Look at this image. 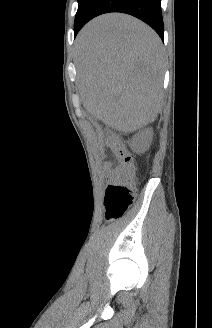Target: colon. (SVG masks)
Segmentation results:
<instances>
[{
    "label": "colon",
    "mask_w": 212,
    "mask_h": 328,
    "mask_svg": "<svg viewBox=\"0 0 212 328\" xmlns=\"http://www.w3.org/2000/svg\"><path fill=\"white\" fill-rule=\"evenodd\" d=\"M107 144L117 155L122 166L120 172L121 180L108 185L105 189V217L108 221H114L126 213L135 199L136 165L133 155L126 151L117 138H108Z\"/></svg>",
    "instance_id": "colon-1"
}]
</instances>
